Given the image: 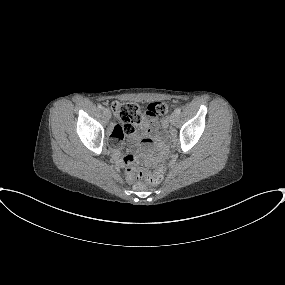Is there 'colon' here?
Wrapping results in <instances>:
<instances>
[{
	"instance_id": "5ec220e1",
	"label": "colon",
	"mask_w": 285,
	"mask_h": 285,
	"mask_svg": "<svg viewBox=\"0 0 285 285\" xmlns=\"http://www.w3.org/2000/svg\"><path fill=\"white\" fill-rule=\"evenodd\" d=\"M112 108L118 121L117 126L123 133H132L136 126L141 125L148 118L163 119L168 112L167 106L162 102L150 103L145 109H142L135 102H116ZM123 162L132 170L134 157L127 155L123 158ZM165 172L166 167L161 164L152 170L133 173L132 177L135 176L137 179H143L152 185H157L162 182ZM140 185L141 183L137 181L135 187L138 188Z\"/></svg>"
}]
</instances>
